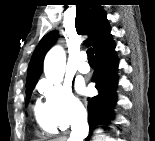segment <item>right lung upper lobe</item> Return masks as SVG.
<instances>
[{
  "label": "right lung upper lobe",
  "instance_id": "right-lung-upper-lobe-1",
  "mask_svg": "<svg viewBox=\"0 0 155 141\" xmlns=\"http://www.w3.org/2000/svg\"><path fill=\"white\" fill-rule=\"evenodd\" d=\"M76 7V30L79 34L89 35L86 44L94 48L110 32L106 13L97 0H78ZM56 38L57 31H51L37 45L29 63L26 86L36 83L43 68L44 56Z\"/></svg>",
  "mask_w": 155,
  "mask_h": 141
}]
</instances>
